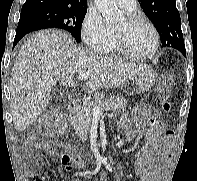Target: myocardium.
Wrapping results in <instances>:
<instances>
[{"label":"myocardium","instance_id":"myocardium-1","mask_svg":"<svg viewBox=\"0 0 197 181\" xmlns=\"http://www.w3.org/2000/svg\"><path fill=\"white\" fill-rule=\"evenodd\" d=\"M126 22L129 25H135V24H145L147 25L153 35H154V46L153 49L147 53V54H136L132 51H130L128 49V47L126 46V44L124 43L123 39L120 37L119 34H117L116 32H114V42H115V46L118 50V52L122 55H124L127 58H131V59H135V60H149L152 59L159 51L160 49V35L159 32L157 30V28L155 27V25L149 21L148 19L141 17V16H137V15H130L126 18Z\"/></svg>","mask_w":197,"mask_h":181}]
</instances>
